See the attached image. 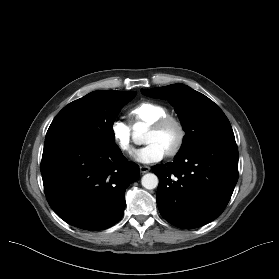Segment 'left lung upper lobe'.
I'll use <instances>...</instances> for the list:
<instances>
[{
    "label": "left lung upper lobe",
    "mask_w": 279,
    "mask_h": 279,
    "mask_svg": "<svg viewBox=\"0 0 279 279\" xmlns=\"http://www.w3.org/2000/svg\"><path fill=\"white\" fill-rule=\"evenodd\" d=\"M149 97L169 100L174 106L186 132L178 155L193 147L213 140H235L230 122L208 97L183 84L144 90Z\"/></svg>",
    "instance_id": "5c2ea615"
}]
</instances>
